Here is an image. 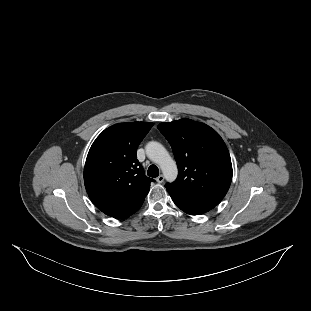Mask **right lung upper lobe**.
<instances>
[{
    "instance_id": "obj_1",
    "label": "right lung upper lobe",
    "mask_w": 311,
    "mask_h": 311,
    "mask_svg": "<svg viewBox=\"0 0 311 311\" xmlns=\"http://www.w3.org/2000/svg\"><path fill=\"white\" fill-rule=\"evenodd\" d=\"M153 123H120L105 129L92 144L84 167L86 191L108 216L125 219L143 204L153 179L144 174L137 148Z\"/></svg>"
}]
</instances>
